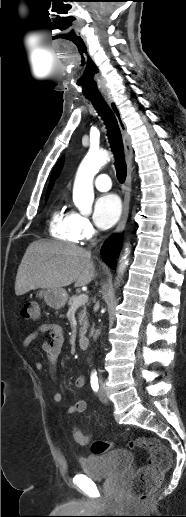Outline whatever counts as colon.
<instances>
[{
    "mask_svg": "<svg viewBox=\"0 0 186 517\" xmlns=\"http://www.w3.org/2000/svg\"><path fill=\"white\" fill-rule=\"evenodd\" d=\"M21 316L26 320H37L40 317V305L36 301L26 302L21 310ZM77 443H83L86 437L79 431L74 432ZM129 448H141L149 454L148 462L139 468L128 487V495L132 500H143L155 490L165 472L171 467V455L167 447L158 439L152 437H140L128 442ZM111 448V443L103 440H96L91 444V451L94 454H102Z\"/></svg>",
    "mask_w": 186,
    "mask_h": 517,
    "instance_id": "1",
    "label": "colon"
}]
</instances>
